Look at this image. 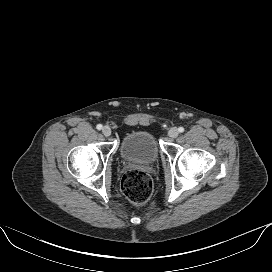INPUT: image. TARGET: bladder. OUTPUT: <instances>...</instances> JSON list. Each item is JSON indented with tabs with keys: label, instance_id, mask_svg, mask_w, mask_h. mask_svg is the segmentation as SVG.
<instances>
[{
	"label": "bladder",
	"instance_id": "1",
	"mask_svg": "<svg viewBox=\"0 0 272 272\" xmlns=\"http://www.w3.org/2000/svg\"><path fill=\"white\" fill-rule=\"evenodd\" d=\"M119 153L126 161L149 164L157 160L160 148L153 133L138 130L128 133L122 139Z\"/></svg>",
	"mask_w": 272,
	"mask_h": 272
}]
</instances>
